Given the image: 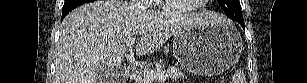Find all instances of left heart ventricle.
Instances as JSON below:
<instances>
[{"label":"left heart ventricle","instance_id":"left-heart-ventricle-1","mask_svg":"<svg viewBox=\"0 0 307 83\" xmlns=\"http://www.w3.org/2000/svg\"><path fill=\"white\" fill-rule=\"evenodd\" d=\"M201 2L200 0H174L171 1L172 5L175 8H190L194 6L196 3Z\"/></svg>","mask_w":307,"mask_h":83}]
</instances>
